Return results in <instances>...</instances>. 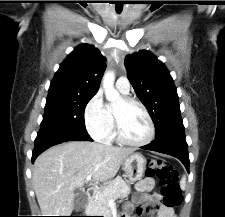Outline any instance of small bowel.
<instances>
[{
	"label": "small bowel",
	"instance_id": "obj_1",
	"mask_svg": "<svg viewBox=\"0 0 225 217\" xmlns=\"http://www.w3.org/2000/svg\"><path fill=\"white\" fill-rule=\"evenodd\" d=\"M155 187V181L151 177H145L136 183L135 188L138 192L142 193L136 196L131 202L126 204L125 208L128 212L134 208L138 213L144 211L153 215L155 211H158L157 217H176L173 208L166 207L164 204H159L161 196L157 193L147 194ZM122 217H130L129 215H123Z\"/></svg>",
	"mask_w": 225,
	"mask_h": 217
}]
</instances>
